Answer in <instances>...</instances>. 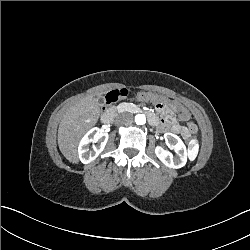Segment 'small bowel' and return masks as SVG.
Masks as SVG:
<instances>
[{
  "mask_svg": "<svg viewBox=\"0 0 250 250\" xmlns=\"http://www.w3.org/2000/svg\"><path fill=\"white\" fill-rule=\"evenodd\" d=\"M161 108L164 109L167 112V114L174 111L176 115L178 116V118L182 121H188L190 119V113L185 108L178 107L176 105H170V104H168L167 106H163ZM148 117L151 122L156 123L158 125H167L168 127H171L172 129H174L175 131L182 130V127L178 123L171 122L163 118L159 119L154 114H150ZM188 131L195 132L196 126L193 123L189 124Z\"/></svg>",
  "mask_w": 250,
  "mask_h": 250,
  "instance_id": "obj_1",
  "label": "small bowel"
}]
</instances>
